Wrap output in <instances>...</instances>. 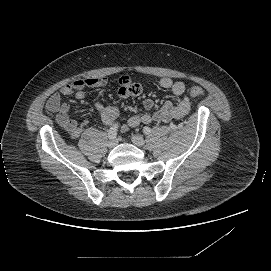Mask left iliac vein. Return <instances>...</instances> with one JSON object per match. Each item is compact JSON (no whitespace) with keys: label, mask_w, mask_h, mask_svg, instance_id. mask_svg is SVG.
I'll return each instance as SVG.
<instances>
[{"label":"left iliac vein","mask_w":271,"mask_h":271,"mask_svg":"<svg viewBox=\"0 0 271 271\" xmlns=\"http://www.w3.org/2000/svg\"><path fill=\"white\" fill-rule=\"evenodd\" d=\"M131 141L134 145H136L138 147H142L145 143L143 137L139 134L132 135Z\"/></svg>","instance_id":"left-iliac-vein-1"}]
</instances>
